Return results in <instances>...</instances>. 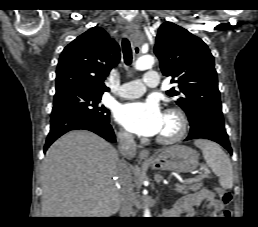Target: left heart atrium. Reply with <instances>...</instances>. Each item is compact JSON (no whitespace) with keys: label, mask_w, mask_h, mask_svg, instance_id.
Instances as JSON below:
<instances>
[{"label":"left heart atrium","mask_w":258,"mask_h":227,"mask_svg":"<svg viewBox=\"0 0 258 227\" xmlns=\"http://www.w3.org/2000/svg\"><path fill=\"white\" fill-rule=\"evenodd\" d=\"M164 115L155 100L124 104L117 110L116 119L129 131L142 136L160 132Z\"/></svg>","instance_id":"left-heart-atrium-1"}]
</instances>
